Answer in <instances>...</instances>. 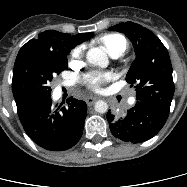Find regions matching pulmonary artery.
Listing matches in <instances>:
<instances>
[{"label": "pulmonary artery", "mask_w": 187, "mask_h": 187, "mask_svg": "<svg viewBox=\"0 0 187 187\" xmlns=\"http://www.w3.org/2000/svg\"><path fill=\"white\" fill-rule=\"evenodd\" d=\"M114 58L118 57V56H113ZM134 102V98H130L129 103H133Z\"/></svg>", "instance_id": "obj_1"}]
</instances>
